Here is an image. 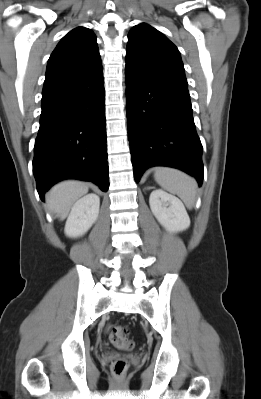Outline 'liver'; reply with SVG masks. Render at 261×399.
<instances>
[{
    "instance_id": "obj_1",
    "label": "liver",
    "mask_w": 261,
    "mask_h": 399,
    "mask_svg": "<svg viewBox=\"0 0 261 399\" xmlns=\"http://www.w3.org/2000/svg\"><path fill=\"white\" fill-rule=\"evenodd\" d=\"M87 192V183L74 180L63 181L51 188L46 196V202L49 209L63 220L72 205Z\"/></svg>"
}]
</instances>
